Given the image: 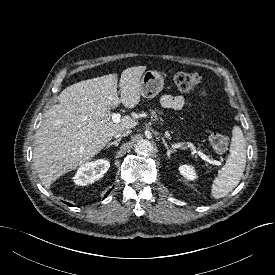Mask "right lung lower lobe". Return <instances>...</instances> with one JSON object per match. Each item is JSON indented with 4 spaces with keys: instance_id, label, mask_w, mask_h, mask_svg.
<instances>
[{
    "instance_id": "1",
    "label": "right lung lower lobe",
    "mask_w": 275,
    "mask_h": 275,
    "mask_svg": "<svg viewBox=\"0 0 275 275\" xmlns=\"http://www.w3.org/2000/svg\"><path fill=\"white\" fill-rule=\"evenodd\" d=\"M110 191H111V190H109V191L106 193L105 197L110 193ZM69 205H70V204H69Z\"/></svg>"
}]
</instances>
